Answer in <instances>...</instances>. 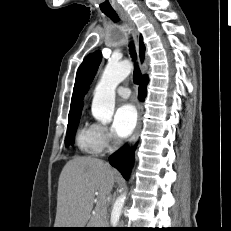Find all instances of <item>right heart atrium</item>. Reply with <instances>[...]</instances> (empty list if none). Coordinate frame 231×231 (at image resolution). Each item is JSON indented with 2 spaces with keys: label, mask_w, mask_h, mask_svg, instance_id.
<instances>
[{
  "label": "right heart atrium",
  "mask_w": 231,
  "mask_h": 231,
  "mask_svg": "<svg viewBox=\"0 0 231 231\" xmlns=\"http://www.w3.org/2000/svg\"><path fill=\"white\" fill-rule=\"evenodd\" d=\"M98 130V137L100 143L104 150L112 149L116 143L117 139L110 128L105 125L96 124Z\"/></svg>",
  "instance_id": "d8ad5b80"
}]
</instances>
